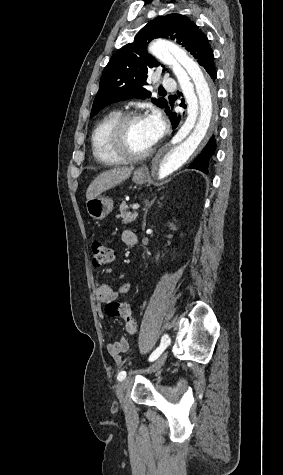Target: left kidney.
Wrapping results in <instances>:
<instances>
[{
    "mask_svg": "<svg viewBox=\"0 0 283 475\" xmlns=\"http://www.w3.org/2000/svg\"><path fill=\"white\" fill-rule=\"evenodd\" d=\"M169 228H170V230H174V232H175V230H177V228H175L174 224H170V222H169Z\"/></svg>",
    "mask_w": 283,
    "mask_h": 475,
    "instance_id": "1",
    "label": "left kidney"
}]
</instances>
